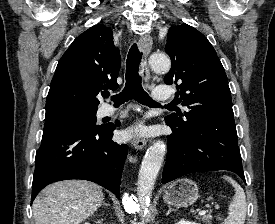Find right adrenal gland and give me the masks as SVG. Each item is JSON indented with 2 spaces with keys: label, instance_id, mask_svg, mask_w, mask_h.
<instances>
[{
  "label": "right adrenal gland",
  "instance_id": "2a0ac1e0",
  "mask_svg": "<svg viewBox=\"0 0 275 224\" xmlns=\"http://www.w3.org/2000/svg\"><path fill=\"white\" fill-rule=\"evenodd\" d=\"M103 205H104V206H110V204H108V203H103Z\"/></svg>",
  "mask_w": 275,
  "mask_h": 224
}]
</instances>
